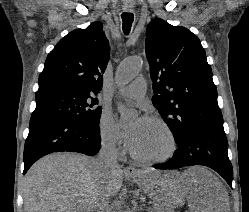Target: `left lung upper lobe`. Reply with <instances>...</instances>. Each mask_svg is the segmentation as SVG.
Here are the masks:
<instances>
[{
	"mask_svg": "<svg viewBox=\"0 0 249 212\" xmlns=\"http://www.w3.org/2000/svg\"><path fill=\"white\" fill-rule=\"evenodd\" d=\"M145 47L153 82L152 103L176 143L185 136L186 128L223 123L212 70L196 35L157 18L147 27Z\"/></svg>",
	"mask_w": 249,
	"mask_h": 212,
	"instance_id": "1",
	"label": "left lung upper lobe"
}]
</instances>
